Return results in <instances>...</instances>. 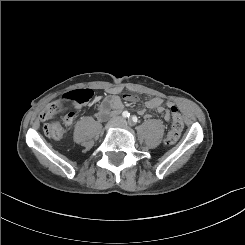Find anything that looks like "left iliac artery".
<instances>
[{
    "mask_svg": "<svg viewBox=\"0 0 245 245\" xmlns=\"http://www.w3.org/2000/svg\"><path fill=\"white\" fill-rule=\"evenodd\" d=\"M138 121V118L136 116H132V118L130 119V124L134 125L136 124Z\"/></svg>",
    "mask_w": 245,
    "mask_h": 245,
    "instance_id": "1",
    "label": "left iliac artery"
}]
</instances>
